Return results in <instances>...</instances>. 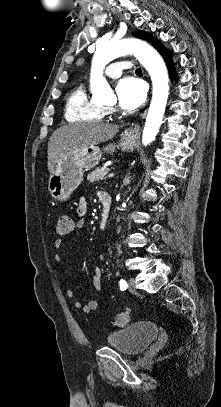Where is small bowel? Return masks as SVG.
Masks as SVG:
<instances>
[{
    "label": "small bowel",
    "mask_w": 221,
    "mask_h": 407,
    "mask_svg": "<svg viewBox=\"0 0 221 407\" xmlns=\"http://www.w3.org/2000/svg\"><path fill=\"white\" fill-rule=\"evenodd\" d=\"M105 193H106L105 191L98 192V198L100 201ZM86 214H87V202H86V199L82 196V197H80L78 208H77L78 219L75 223V229L81 230L84 228L85 223H86L85 222ZM61 245H62V240L57 239L55 241V247L57 249H59L61 247ZM55 259L59 261L61 259L60 255H56ZM102 280H103V270L100 267H96L93 270L92 284H93V287L97 291H100L102 289ZM65 294L70 299L74 298V296H75V292L72 289H67L65 291ZM98 305H99L98 299H92L86 303H81L80 301L74 302V306L76 307V309H78L79 311H81L83 313H89V312L96 310Z\"/></svg>",
    "instance_id": "1"
}]
</instances>
